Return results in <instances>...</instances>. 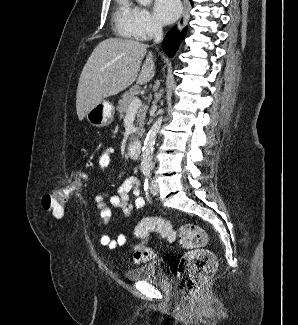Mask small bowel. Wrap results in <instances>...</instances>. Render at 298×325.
Masks as SVG:
<instances>
[{"mask_svg": "<svg viewBox=\"0 0 298 325\" xmlns=\"http://www.w3.org/2000/svg\"><path fill=\"white\" fill-rule=\"evenodd\" d=\"M114 153V147L108 146L100 155L98 164L103 172L111 164ZM107 200L109 201V205L106 202ZM95 205L101 219L104 222H108L112 214V209H121L126 216L132 217L144 207L145 200L140 194L138 179L135 176H130L119 187L116 195H110L106 191L97 194L95 197ZM100 243L109 249H115L127 243V236L122 233L114 239L109 234H102Z\"/></svg>", "mask_w": 298, "mask_h": 325, "instance_id": "obj_1", "label": "small bowel"}]
</instances>
